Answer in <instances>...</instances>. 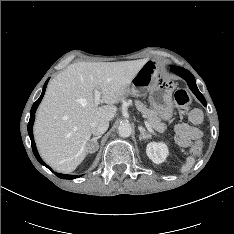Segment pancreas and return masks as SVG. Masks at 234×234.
<instances>
[{"label":"pancreas","mask_w":234,"mask_h":234,"mask_svg":"<svg viewBox=\"0 0 234 234\" xmlns=\"http://www.w3.org/2000/svg\"><path fill=\"white\" fill-rule=\"evenodd\" d=\"M135 106L138 111L142 113L143 117L147 119L151 127L160 133L165 131L166 126L155 110L147 108V106L139 100L135 101Z\"/></svg>","instance_id":"obj_1"}]
</instances>
